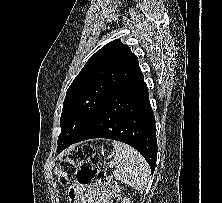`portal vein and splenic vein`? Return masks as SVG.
Listing matches in <instances>:
<instances>
[{"instance_id": "18ae733b", "label": "portal vein and splenic vein", "mask_w": 222, "mask_h": 203, "mask_svg": "<svg viewBox=\"0 0 222 203\" xmlns=\"http://www.w3.org/2000/svg\"><path fill=\"white\" fill-rule=\"evenodd\" d=\"M110 167H112L113 165H112V163H110V165H109Z\"/></svg>"}]
</instances>
